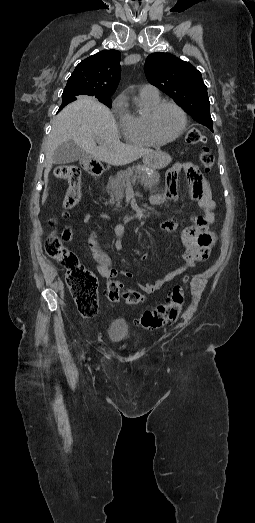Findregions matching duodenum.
Masks as SVG:
<instances>
[{
  "label": "duodenum",
  "mask_w": 255,
  "mask_h": 523,
  "mask_svg": "<svg viewBox=\"0 0 255 523\" xmlns=\"http://www.w3.org/2000/svg\"><path fill=\"white\" fill-rule=\"evenodd\" d=\"M84 170L94 177H99L104 172V166L97 158L93 156H88L83 161Z\"/></svg>",
  "instance_id": "obj_1"
}]
</instances>
